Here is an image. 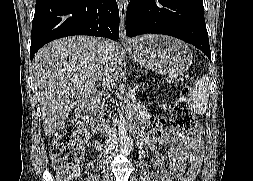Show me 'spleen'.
Segmentation results:
<instances>
[{
	"label": "spleen",
	"instance_id": "1",
	"mask_svg": "<svg viewBox=\"0 0 253 181\" xmlns=\"http://www.w3.org/2000/svg\"><path fill=\"white\" fill-rule=\"evenodd\" d=\"M210 83L208 77L203 75L195 82L193 89V111L199 115L205 113L209 97Z\"/></svg>",
	"mask_w": 253,
	"mask_h": 181
}]
</instances>
